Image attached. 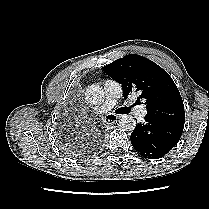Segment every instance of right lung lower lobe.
I'll list each match as a JSON object with an SVG mask.
<instances>
[{"mask_svg":"<svg viewBox=\"0 0 209 209\" xmlns=\"http://www.w3.org/2000/svg\"><path fill=\"white\" fill-rule=\"evenodd\" d=\"M100 139H101V138H100ZM100 139H99V140H100ZM99 142H100V141H98L97 144H99ZM84 150H85V151H88V150L90 151V150H92V147L86 146V147L84 148ZM75 152H77V151L75 150Z\"/></svg>","mask_w":209,"mask_h":209,"instance_id":"98d812e1","label":"right lung lower lobe"}]
</instances>
